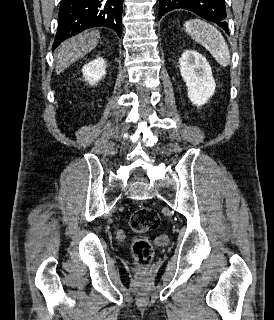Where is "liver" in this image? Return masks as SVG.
Segmentation results:
<instances>
[{"label":"liver","mask_w":274,"mask_h":320,"mask_svg":"<svg viewBox=\"0 0 274 320\" xmlns=\"http://www.w3.org/2000/svg\"><path fill=\"white\" fill-rule=\"evenodd\" d=\"M99 40V30H85L82 34H78V36H73V38L62 42L55 54L57 60L56 74H60L68 66H71L74 62H78L86 54L92 52L97 44H99Z\"/></svg>","instance_id":"6515ba94"}]
</instances>
